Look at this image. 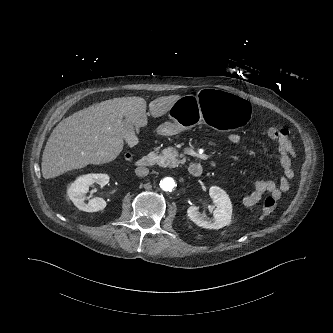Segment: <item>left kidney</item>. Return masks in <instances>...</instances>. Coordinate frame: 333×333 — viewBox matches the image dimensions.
I'll return each mask as SVG.
<instances>
[{
  "mask_svg": "<svg viewBox=\"0 0 333 333\" xmlns=\"http://www.w3.org/2000/svg\"><path fill=\"white\" fill-rule=\"evenodd\" d=\"M209 195L217 208L213 211V220L204 219L196 206H191L187 210L188 217L196 225L206 229H220L231 223L232 204L227 193L217 186L209 189Z\"/></svg>",
  "mask_w": 333,
  "mask_h": 333,
  "instance_id": "obj_1",
  "label": "left kidney"
}]
</instances>
